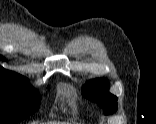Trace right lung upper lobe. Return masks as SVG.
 Here are the masks:
<instances>
[{"label": "right lung upper lobe", "instance_id": "right-lung-upper-lobe-1", "mask_svg": "<svg viewBox=\"0 0 156 124\" xmlns=\"http://www.w3.org/2000/svg\"><path fill=\"white\" fill-rule=\"evenodd\" d=\"M0 76H6V77H13V78H20V79H26L25 77L17 74V73H14V72H11V71H8V70H5L3 67L0 66Z\"/></svg>", "mask_w": 156, "mask_h": 124}]
</instances>
